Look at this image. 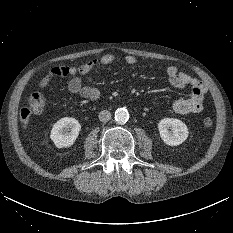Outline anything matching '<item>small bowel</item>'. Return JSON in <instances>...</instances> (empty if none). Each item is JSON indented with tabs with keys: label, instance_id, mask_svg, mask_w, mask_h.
Returning <instances> with one entry per match:
<instances>
[{
	"label": "small bowel",
	"instance_id": "small-bowel-1",
	"mask_svg": "<svg viewBox=\"0 0 233 233\" xmlns=\"http://www.w3.org/2000/svg\"><path fill=\"white\" fill-rule=\"evenodd\" d=\"M116 59L117 57L114 54H104L99 58L86 61L79 67H55L40 80L38 86L44 88L55 78L71 76L72 78L68 82L69 92L90 101H96L100 97V91L95 87L83 85L81 78L77 74H87L98 65L107 66ZM125 61L133 65L137 62V59L133 55H127ZM164 72L173 87L178 89L191 87V95L187 98L175 100L171 105L172 111L182 115L200 113L203 110L204 95L207 91L205 83L185 72L179 71L175 66H167Z\"/></svg>",
	"mask_w": 233,
	"mask_h": 233
}]
</instances>
